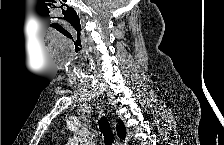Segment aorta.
Returning a JSON list of instances; mask_svg holds the SVG:
<instances>
[{"label": "aorta", "instance_id": "aorta-1", "mask_svg": "<svg viewBox=\"0 0 224 145\" xmlns=\"http://www.w3.org/2000/svg\"><path fill=\"white\" fill-rule=\"evenodd\" d=\"M73 143L75 145H89L91 143V136L87 130L78 132L74 138Z\"/></svg>", "mask_w": 224, "mask_h": 145}]
</instances>
